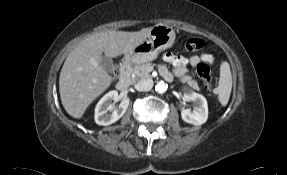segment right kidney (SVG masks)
I'll return each mask as SVG.
<instances>
[{"label": "right kidney", "instance_id": "obj_1", "mask_svg": "<svg viewBox=\"0 0 287 175\" xmlns=\"http://www.w3.org/2000/svg\"><path fill=\"white\" fill-rule=\"evenodd\" d=\"M119 98L118 92L112 90L105 94L97 103L95 108V122L98 125L108 126L119 120L126 112L129 105V98H124L117 108L112 106V101Z\"/></svg>", "mask_w": 287, "mask_h": 175}]
</instances>
